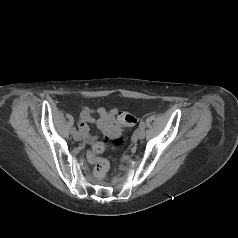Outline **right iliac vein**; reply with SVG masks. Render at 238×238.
Masks as SVG:
<instances>
[{"instance_id": "1", "label": "right iliac vein", "mask_w": 238, "mask_h": 238, "mask_svg": "<svg viewBox=\"0 0 238 238\" xmlns=\"http://www.w3.org/2000/svg\"><path fill=\"white\" fill-rule=\"evenodd\" d=\"M73 138L75 141H80L81 140V134L79 132H76L73 134Z\"/></svg>"}]
</instances>
